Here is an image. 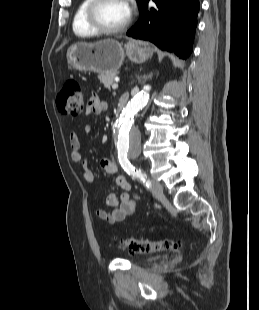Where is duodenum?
I'll use <instances>...</instances> for the list:
<instances>
[{
  "mask_svg": "<svg viewBox=\"0 0 259 310\" xmlns=\"http://www.w3.org/2000/svg\"><path fill=\"white\" fill-rule=\"evenodd\" d=\"M129 101V97L124 95L119 100V108L122 110L126 107L127 103Z\"/></svg>",
  "mask_w": 259,
  "mask_h": 310,
  "instance_id": "1",
  "label": "duodenum"
}]
</instances>
